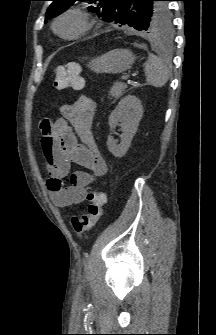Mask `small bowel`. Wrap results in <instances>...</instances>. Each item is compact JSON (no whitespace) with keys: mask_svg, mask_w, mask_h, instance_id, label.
Wrapping results in <instances>:
<instances>
[{"mask_svg":"<svg viewBox=\"0 0 216 335\" xmlns=\"http://www.w3.org/2000/svg\"><path fill=\"white\" fill-rule=\"evenodd\" d=\"M95 111V102L86 95H80L73 104H63L59 108L61 118L42 120L39 124L40 148L48 173L46 188L58 207L84 202L88 186L107 172L92 133ZM72 163L89 172L70 174Z\"/></svg>","mask_w":216,"mask_h":335,"instance_id":"c3829d8e","label":"small bowel"}]
</instances>
